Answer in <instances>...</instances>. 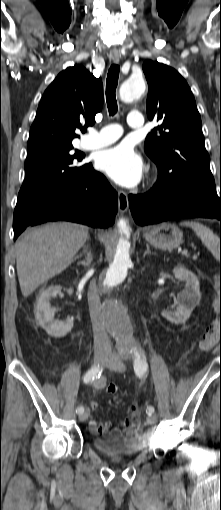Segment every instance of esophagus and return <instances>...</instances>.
Masks as SVG:
<instances>
[{"mask_svg": "<svg viewBox=\"0 0 221 510\" xmlns=\"http://www.w3.org/2000/svg\"><path fill=\"white\" fill-rule=\"evenodd\" d=\"M120 53L118 52H114L112 54V59H113V62L114 63H119L120 61ZM128 204H129V201H128V196H127V193L124 192V191H119L118 193V207H119V211L121 213H125L128 209Z\"/></svg>", "mask_w": 221, "mask_h": 510, "instance_id": "1", "label": "esophagus"}]
</instances>
